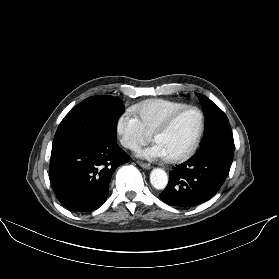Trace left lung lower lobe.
<instances>
[{
	"label": "left lung lower lobe",
	"instance_id": "left-lung-lower-lobe-1",
	"mask_svg": "<svg viewBox=\"0 0 279 279\" xmlns=\"http://www.w3.org/2000/svg\"><path fill=\"white\" fill-rule=\"evenodd\" d=\"M233 153L219 146L197 152L170 172L161 199L178 207H191L209 200L227 178Z\"/></svg>",
	"mask_w": 279,
	"mask_h": 279
}]
</instances>
